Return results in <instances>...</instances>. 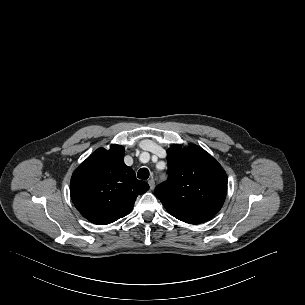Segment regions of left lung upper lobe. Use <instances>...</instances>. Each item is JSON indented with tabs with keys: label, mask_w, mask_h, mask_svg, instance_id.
I'll return each instance as SVG.
<instances>
[{
	"label": "left lung upper lobe",
	"mask_w": 305,
	"mask_h": 305,
	"mask_svg": "<svg viewBox=\"0 0 305 305\" xmlns=\"http://www.w3.org/2000/svg\"><path fill=\"white\" fill-rule=\"evenodd\" d=\"M168 180L155 188L167 211L184 222L202 223L222 207L227 175L220 164L197 145L167 150Z\"/></svg>",
	"instance_id": "obj_1"
}]
</instances>
